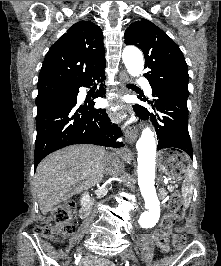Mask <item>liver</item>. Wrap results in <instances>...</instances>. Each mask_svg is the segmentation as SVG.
I'll return each instance as SVG.
<instances>
[{"instance_id": "6515ba94", "label": "liver", "mask_w": 221, "mask_h": 266, "mask_svg": "<svg viewBox=\"0 0 221 266\" xmlns=\"http://www.w3.org/2000/svg\"><path fill=\"white\" fill-rule=\"evenodd\" d=\"M116 150V154H120ZM108 153L95 145H72L47 156L38 165L34 187L43 215L73 195L87 190L103 179Z\"/></svg>"}]
</instances>
